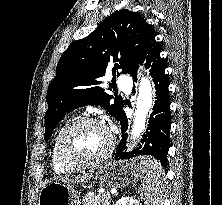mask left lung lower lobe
<instances>
[{
  "label": "left lung lower lobe",
  "mask_w": 222,
  "mask_h": 205,
  "mask_svg": "<svg viewBox=\"0 0 222 205\" xmlns=\"http://www.w3.org/2000/svg\"><path fill=\"white\" fill-rule=\"evenodd\" d=\"M153 33L143 48L137 61L132 66L129 74L137 81L138 64L145 62V67L150 68L156 89V100L153 112L149 120L146 133L143 135L141 144L131 152L126 149L128 120L124 111H121L118 121L121 124L122 139L113 155L116 160L133 158L144 154L153 155L163 166L167 165V152L169 149V132L171 125L170 96L168 91L169 81L165 74L166 65L160 57V47Z\"/></svg>",
  "instance_id": "1"
}]
</instances>
